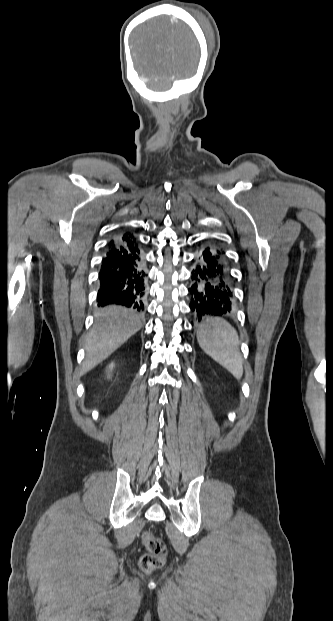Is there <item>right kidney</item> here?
<instances>
[{"instance_id":"obj_1","label":"right kidney","mask_w":333,"mask_h":621,"mask_svg":"<svg viewBox=\"0 0 333 621\" xmlns=\"http://www.w3.org/2000/svg\"><path fill=\"white\" fill-rule=\"evenodd\" d=\"M111 369L113 368V364H111V366H109Z\"/></svg>"}]
</instances>
